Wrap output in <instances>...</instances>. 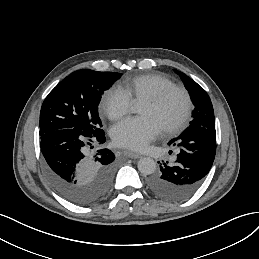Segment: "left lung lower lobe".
<instances>
[{
	"instance_id": "obj_1",
	"label": "left lung lower lobe",
	"mask_w": 259,
	"mask_h": 259,
	"mask_svg": "<svg viewBox=\"0 0 259 259\" xmlns=\"http://www.w3.org/2000/svg\"><path fill=\"white\" fill-rule=\"evenodd\" d=\"M168 144L180 149L175 163H163L160 171L147 183L157 196L182 201L200 188L212 167L216 154V131L215 128L189 126Z\"/></svg>"
}]
</instances>
